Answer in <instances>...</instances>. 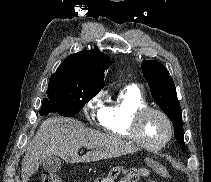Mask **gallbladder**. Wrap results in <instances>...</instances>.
Returning <instances> with one entry per match:
<instances>
[{
    "mask_svg": "<svg viewBox=\"0 0 211 182\" xmlns=\"http://www.w3.org/2000/svg\"><path fill=\"white\" fill-rule=\"evenodd\" d=\"M43 168L49 173H56L61 168V160L58 156L52 155L43 160Z\"/></svg>",
    "mask_w": 211,
    "mask_h": 182,
    "instance_id": "1",
    "label": "gallbladder"
}]
</instances>
